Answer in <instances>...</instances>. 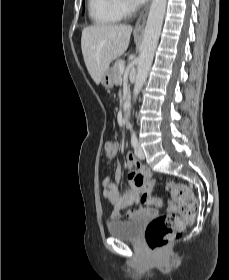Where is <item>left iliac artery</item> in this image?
Instances as JSON below:
<instances>
[{
  "instance_id": "left-iliac-artery-1",
  "label": "left iliac artery",
  "mask_w": 229,
  "mask_h": 280,
  "mask_svg": "<svg viewBox=\"0 0 229 280\" xmlns=\"http://www.w3.org/2000/svg\"><path fill=\"white\" fill-rule=\"evenodd\" d=\"M131 145L135 148L138 145V140H137V136H136V132L133 131L132 132V136H131Z\"/></svg>"
}]
</instances>
